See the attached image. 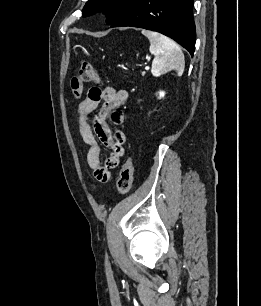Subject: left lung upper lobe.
I'll use <instances>...</instances> for the list:
<instances>
[{"instance_id": "1", "label": "left lung upper lobe", "mask_w": 261, "mask_h": 306, "mask_svg": "<svg viewBox=\"0 0 261 306\" xmlns=\"http://www.w3.org/2000/svg\"><path fill=\"white\" fill-rule=\"evenodd\" d=\"M134 0H89L83 8V16L102 11L107 16V24L116 23L129 9Z\"/></svg>"}]
</instances>
